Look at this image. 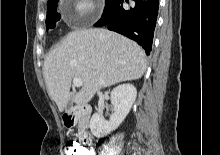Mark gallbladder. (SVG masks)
<instances>
[{
    "instance_id": "gallbladder-1",
    "label": "gallbladder",
    "mask_w": 220,
    "mask_h": 155,
    "mask_svg": "<svg viewBox=\"0 0 220 155\" xmlns=\"http://www.w3.org/2000/svg\"><path fill=\"white\" fill-rule=\"evenodd\" d=\"M69 109H70V106H68V107L66 108V111H69Z\"/></svg>"
}]
</instances>
